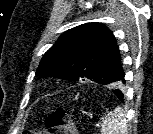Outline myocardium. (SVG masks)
<instances>
[{"label":"myocardium","instance_id":"f54148a6","mask_svg":"<svg viewBox=\"0 0 153 134\" xmlns=\"http://www.w3.org/2000/svg\"><path fill=\"white\" fill-rule=\"evenodd\" d=\"M50 84H51L50 81H45V82H44V85H45V86H50Z\"/></svg>","mask_w":153,"mask_h":134}]
</instances>
